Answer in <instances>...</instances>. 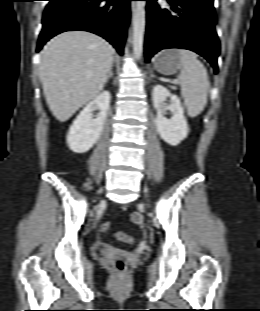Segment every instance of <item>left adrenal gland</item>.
<instances>
[{"mask_svg": "<svg viewBox=\"0 0 260 311\" xmlns=\"http://www.w3.org/2000/svg\"><path fill=\"white\" fill-rule=\"evenodd\" d=\"M151 78H154L155 75L153 74V72L151 71V75H150Z\"/></svg>", "mask_w": 260, "mask_h": 311, "instance_id": "a2214340", "label": "left adrenal gland"}]
</instances>
